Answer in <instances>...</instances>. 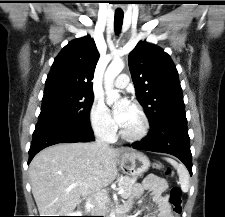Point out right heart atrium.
<instances>
[{"label":"right heart atrium","mask_w":225,"mask_h":217,"mask_svg":"<svg viewBox=\"0 0 225 217\" xmlns=\"http://www.w3.org/2000/svg\"><path fill=\"white\" fill-rule=\"evenodd\" d=\"M90 124L94 132L103 137L110 138L115 132V125L105 104L95 99L90 108Z\"/></svg>","instance_id":"obj_1"}]
</instances>
